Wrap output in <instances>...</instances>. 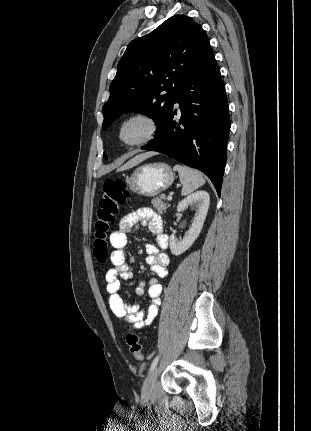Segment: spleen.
Segmentation results:
<instances>
[{
  "mask_svg": "<svg viewBox=\"0 0 311 431\" xmlns=\"http://www.w3.org/2000/svg\"><path fill=\"white\" fill-rule=\"evenodd\" d=\"M173 172H178L180 182L182 184L181 196H189L195 190H198L200 186H204L205 180L197 170L187 168V166H174Z\"/></svg>",
  "mask_w": 311,
  "mask_h": 431,
  "instance_id": "3e777b00",
  "label": "spleen"
}]
</instances>
